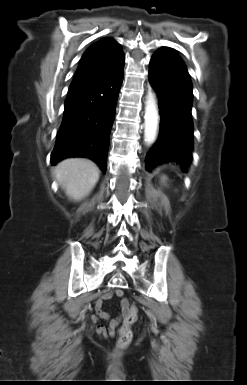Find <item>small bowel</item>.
Instances as JSON below:
<instances>
[{
    "instance_id": "small-bowel-1",
    "label": "small bowel",
    "mask_w": 247,
    "mask_h": 385,
    "mask_svg": "<svg viewBox=\"0 0 247 385\" xmlns=\"http://www.w3.org/2000/svg\"><path fill=\"white\" fill-rule=\"evenodd\" d=\"M114 296L122 297L123 296V290L118 289V288L112 289L109 292L105 293L101 298H99L95 302L96 313L91 317V320L93 323H96L95 331H96L97 335L100 336L101 338H107L109 336H111V337L115 336L117 331H118V326H119L120 322L126 316L125 308L127 306V301L125 299L122 300V310L118 316L111 318L110 314L103 310V301L109 300V299L113 298ZM100 320L108 321V326L106 327L105 325L98 323Z\"/></svg>"
}]
</instances>
